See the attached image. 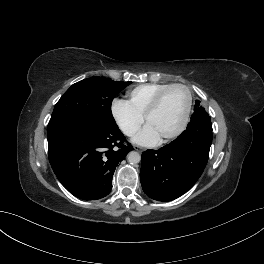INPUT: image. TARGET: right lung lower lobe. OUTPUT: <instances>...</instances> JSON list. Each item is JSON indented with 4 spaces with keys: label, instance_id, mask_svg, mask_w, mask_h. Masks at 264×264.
Wrapping results in <instances>:
<instances>
[{
    "label": "right lung lower lobe",
    "instance_id": "98d812e1",
    "mask_svg": "<svg viewBox=\"0 0 264 264\" xmlns=\"http://www.w3.org/2000/svg\"><path fill=\"white\" fill-rule=\"evenodd\" d=\"M116 124H78L48 136V156L61 184L74 196L97 200L112 189L116 166L133 149Z\"/></svg>",
    "mask_w": 264,
    "mask_h": 264
}]
</instances>
